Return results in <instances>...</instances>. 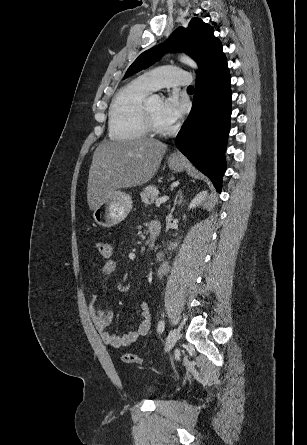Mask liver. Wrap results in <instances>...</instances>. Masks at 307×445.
<instances>
[{
    "instance_id": "1",
    "label": "liver",
    "mask_w": 307,
    "mask_h": 445,
    "mask_svg": "<svg viewBox=\"0 0 307 445\" xmlns=\"http://www.w3.org/2000/svg\"><path fill=\"white\" fill-rule=\"evenodd\" d=\"M167 150L156 138L127 142L102 140L94 150L87 182V202L95 210L118 188L141 186L151 180Z\"/></svg>"
}]
</instances>
